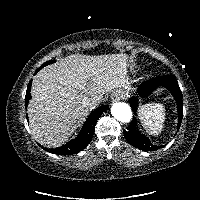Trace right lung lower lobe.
<instances>
[{
    "mask_svg": "<svg viewBox=\"0 0 200 200\" xmlns=\"http://www.w3.org/2000/svg\"><path fill=\"white\" fill-rule=\"evenodd\" d=\"M31 84L32 80L29 82L27 86L26 96H25V107L27 108L28 102L31 99ZM109 107L108 106H101L93 111L88 119L86 120L84 127L81 130V133L72 141L66 143L65 145L56 148V149H46L49 152L59 155H71L82 151L91 141L94 129L97 120L102 115L104 111H106Z\"/></svg>",
    "mask_w": 200,
    "mask_h": 200,
    "instance_id": "1",
    "label": "right lung lower lobe"
}]
</instances>
